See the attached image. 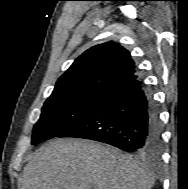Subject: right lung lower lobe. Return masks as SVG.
<instances>
[{"mask_svg":"<svg viewBox=\"0 0 188 189\" xmlns=\"http://www.w3.org/2000/svg\"><path fill=\"white\" fill-rule=\"evenodd\" d=\"M57 137L85 138L145 154L160 149L161 124L151 91L135 80L107 94Z\"/></svg>","mask_w":188,"mask_h":189,"instance_id":"1","label":"right lung lower lobe"}]
</instances>
